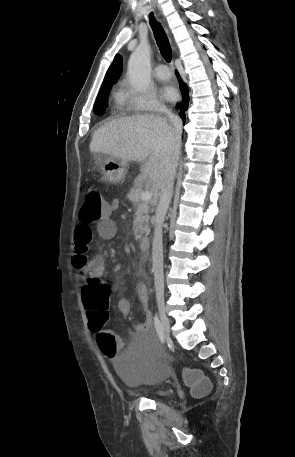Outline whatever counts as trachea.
<instances>
[{"mask_svg":"<svg viewBox=\"0 0 295 457\" xmlns=\"http://www.w3.org/2000/svg\"><path fill=\"white\" fill-rule=\"evenodd\" d=\"M150 25L154 32V37L161 52V55L167 62H170L172 59V50L168 37L161 24L152 16V13L150 14Z\"/></svg>","mask_w":295,"mask_h":457,"instance_id":"1","label":"trachea"}]
</instances>
